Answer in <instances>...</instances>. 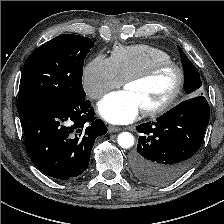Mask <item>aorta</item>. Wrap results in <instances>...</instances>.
Returning <instances> with one entry per match:
<instances>
[{
  "mask_svg": "<svg viewBox=\"0 0 224 224\" xmlns=\"http://www.w3.org/2000/svg\"><path fill=\"white\" fill-rule=\"evenodd\" d=\"M118 144L121 148L128 149L134 145V137L129 132H122L117 138Z\"/></svg>",
  "mask_w": 224,
  "mask_h": 224,
  "instance_id": "762f6f07",
  "label": "aorta"
}]
</instances>
